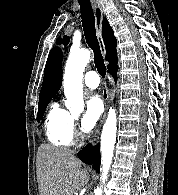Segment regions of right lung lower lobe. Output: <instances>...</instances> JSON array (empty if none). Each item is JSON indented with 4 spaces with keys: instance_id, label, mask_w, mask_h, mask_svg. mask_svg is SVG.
Here are the masks:
<instances>
[{
    "instance_id": "obj_1",
    "label": "right lung lower lobe",
    "mask_w": 178,
    "mask_h": 195,
    "mask_svg": "<svg viewBox=\"0 0 178 195\" xmlns=\"http://www.w3.org/2000/svg\"><path fill=\"white\" fill-rule=\"evenodd\" d=\"M109 73L114 77L115 81H117V63L108 67ZM78 157L81 161L86 164H91L93 169L97 172L100 171V147L99 144L92 147L88 144L84 147L79 153Z\"/></svg>"
}]
</instances>
